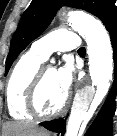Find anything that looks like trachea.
I'll return each instance as SVG.
<instances>
[{
    "mask_svg": "<svg viewBox=\"0 0 117 136\" xmlns=\"http://www.w3.org/2000/svg\"><path fill=\"white\" fill-rule=\"evenodd\" d=\"M78 53H85V48L84 47L79 48Z\"/></svg>",
    "mask_w": 117,
    "mask_h": 136,
    "instance_id": "1",
    "label": "trachea"
}]
</instances>
